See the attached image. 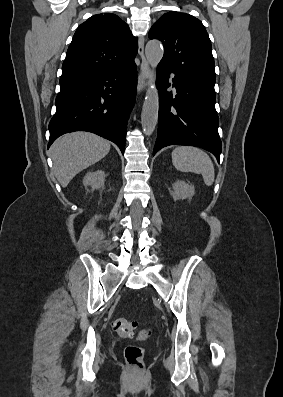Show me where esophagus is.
Here are the masks:
<instances>
[{"label": "esophagus", "mask_w": 283, "mask_h": 397, "mask_svg": "<svg viewBox=\"0 0 283 397\" xmlns=\"http://www.w3.org/2000/svg\"><path fill=\"white\" fill-rule=\"evenodd\" d=\"M138 54L141 58L140 72L138 78V93L145 91L151 78V68L144 54V38L140 37L138 41Z\"/></svg>", "instance_id": "1"}]
</instances>
